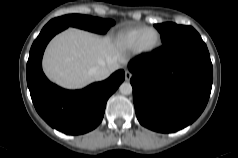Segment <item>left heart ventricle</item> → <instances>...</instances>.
<instances>
[{"instance_id":"1","label":"left heart ventricle","mask_w":238,"mask_h":158,"mask_svg":"<svg viewBox=\"0 0 238 158\" xmlns=\"http://www.w3.org/2000/svg\"><path fill=\"white\" fill-rule=\"evenodd\" d=\"M157 41V34L154 31H149L145 34L143 38V45L145 47H150Z\"/></svg>"}]
</instances>
